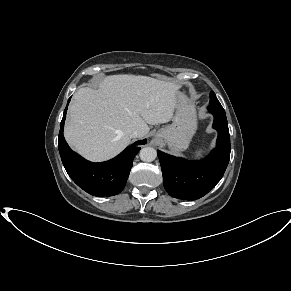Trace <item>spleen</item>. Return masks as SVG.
Wrapping results in <instances>:
<instances>
[{"instance_id":"obj_1","label":"spleen","mask_w":291,"mask_h":291,"mask_svg":"<svg viewBox=\"0 0 291 291\" xmlns=\"http://www.w3.org/2000/svg\"><path fill=\"white\" fill-rule=\"evenodd\" d=\"M204 153V150L203 149H199L195 152V157H200L202 156V154Z\"/></svg>"}]
</instances>
